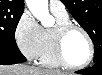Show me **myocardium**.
I'll use <instances>...</instances> for the list:
<instances>
[{"label": "myocardium", "mask_w": 102, "mask_h": 75, "mask_svg": "<svg viewBox=\"0 0 102 75\" xmlns=\"http://www.w3.org/2000/svg\"><path fill=\"white\" fill-rule=\"evenodd\" d=\"M73 30H79L80 32H82L85 38L87 39V42L89 45L88 59L81 65H74L72 62L68 60V58L64 53V40L67 37V35ZM52 43H53L54 57L62 66L81 68L86 66L93 59V56H94L93 41L90 35L88 34V32L77 23L69 21L63 24L56 25L53 30Z\"/></svg>", "instance_id": "obj_1"}]
</instances>
